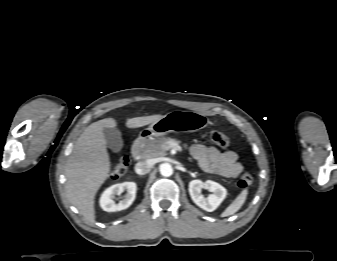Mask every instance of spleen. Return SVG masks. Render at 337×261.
Here are the masks:
<instances>
[{
	"label": "spleen",
	"instance_id": "1",
	"mask_svg": "<svg viewBox=\"0 0 337 261\" xmlns=\"http://www.w3.org/2000/svg\"><path fill=\"white\" fill-rule=\"evenodd\" d=\"M248 195V190L244 189L235 199L234 201L224 210L221 214L222 217H227L235 214L245 203Z\"/></svg>",
	"mask_w": 337,
	"mask_h": 261
}]
</instances>
